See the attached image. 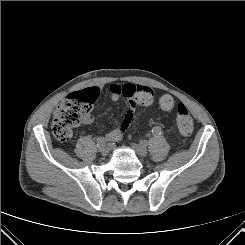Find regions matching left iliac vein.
Instances as JSON below:
<instances>
[{"label": "left iliac vein", "instance_id": "left-iliac-vein-1", "mask_svg": "<svg viewBox=\"0 0 245 245\" xmlns=\"http://www.w3.org/2000/svg\"><path fill=\"white\" fill-rule=\"evenodd\" d=\"M132 148L140 155V156H147L148 151L147 148L144 145L140 144H132Z\"/></svg>", "mask_w": 245, "mask_h": 245}]
</instances>
